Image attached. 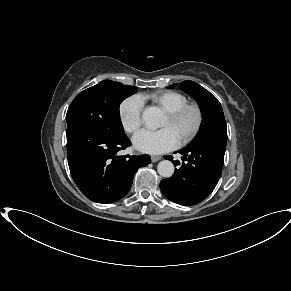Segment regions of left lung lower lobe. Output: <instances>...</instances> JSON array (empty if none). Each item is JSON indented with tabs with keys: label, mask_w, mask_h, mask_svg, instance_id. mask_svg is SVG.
Segmentation results:
<instances>
[{
	"label": "left lung lower lobe",
	"mask_w": 291,
	"mask_h": 291,
	"mask_svg": "<svg viewBox=\"0 0 291 291\" xmlns=\"http://www.w3.org/2000/svg\"><path fill=\"white\" fill-rule=\"evenodd\" d=\"M226 142L202 141L178 151L185 162L174 174L160 182L162 193L180 205H195L203 201L216 187L222 173ZM170 159L174 166L179 161Z\"/></svg>",
	"instance_id": "obj_1"
}]
</instances>
